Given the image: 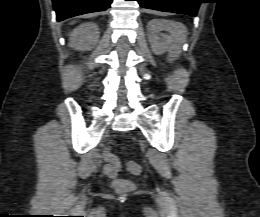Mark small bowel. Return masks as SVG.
Instances as JSON below:
<instances>
[{"instance_id":"c3829d8e","label":"small bowel","mask_w":260,"mask_h":217,"mask_svg":"<svg viewBox=\"0 0 260 217\" xmlns=\"http://www.w3.org/2000/svg\"><path fill=\"white\" fill-rule=\"evenodd\" d=\"M103 159L106 162L103 167L104 174L109 178L116 177L122 168L119 158L111 153L109 147H106L103 151Z\"/></svg>"}]
</instances>
